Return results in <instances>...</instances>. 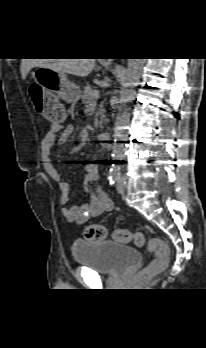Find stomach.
Instances as JSON below:
<instances>
[{"label": "stomach", "mask_w": 206, "mask_h": 348, "mask_svg": "<svg viewBox=\"0 0 206 348\" xmlns=\"http://www.w3.org/2000/svg\"><path fill=\"white\" fill-rule=\"evenodd\" d=\"M33 78L42 91V105L36 104V110L45 114L48 110L47 96L58 97L66 102H77L81 97L80 87L70 82L65 73L46 67H38L33 72Z\"/></svg>", "instance_id": "obj_1"}]
</instances>
